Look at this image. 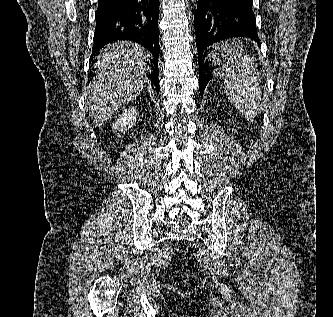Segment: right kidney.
I'll use <instances>...</instances> for the list:
<instances>
[{
  "label": "right kidney",
  "instance_id": "1",
  "mask_svg": "<svg viewBox=\"0 0 333 317\" xmlns=\"http://www.w3.org/2000/svg\"><path fill=\"white\" fill-rule=\"evenodd\" d=\"M137 119V108L132 107L129 109H126L119 118L113 123V130L114 131H120L125 132L127 128H131Z\"/></svg>",
  "mask_w": 333,
  "mask_h": 317
}]
</instances>
